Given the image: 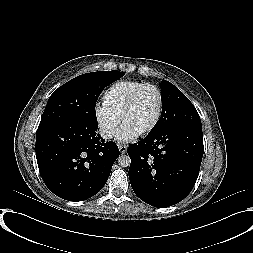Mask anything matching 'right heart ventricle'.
<instances>
[{"label": "right heart ventricle", "instance_id": "e07e8e85", "mask_svg": "<svg viewBox=\"0 0 253 253\" xmlns=\"http://www.w3.org/2000/svg\"><path fill=\"white\" fill-rule=\"evenodd\" d=\"M145 82L136 80H119L111 84L103 93L102 104L110 111L120 116L130 95Z\"/></svg>", "mask_w": 253, "mask_h": 253}]
</instances>
